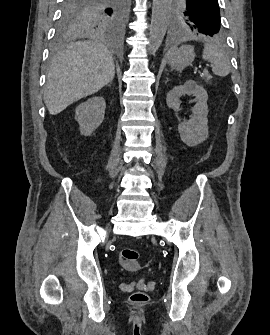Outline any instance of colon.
Wrapping results in <instances>:
<instances>
[{"label":"colon","instance_id":"1","mask_svg":"<svg viewBox=\"0 0 270 335\" xmlns=\"http://www.w3.org/2000/svg\"><path fill=\"white\" fill-rule=\"evenodd\" d=\"M139 251L135 248H123L120 252L121 265L127 269H133L138 265ZM131 300L138 304H144L148 301V295L143 292H133Z\"/></svg>","mask_w":270,"mask_h":335}]
</instances>
